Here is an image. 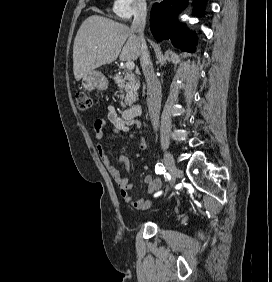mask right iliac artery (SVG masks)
<instances>
[{
    "label": "right iliac artery",
    "mask_w": 272,
    "mask_h": 282,
    "mask_svg": "<svg viewBox=\"0 0 272 282\" xmlns=\"http://www.w3.org/2000/svg\"><path fill=\"white\" fill-rule=\"evenodd\" d=\"M155 172L156 174H165L167 176H170L168 173H166L165 167L160 163L155 166ZM161 193V191L157 192L156 194H154V197L159 196Z\"/></svg>",
    "instance_id": "1"
}]
</instances>
